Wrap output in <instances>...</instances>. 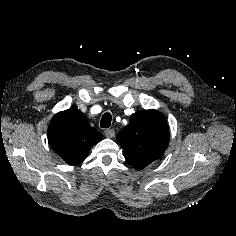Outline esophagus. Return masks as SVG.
Masks as SVG:
<instances>
[{
	"mask_svg": "<svg viewBox=\"0 0 236 236\" xmlns=\"http://www.w3.org/2000/svg\"><path fill=\"white\" fill-rule=\"evenodd\" d=\"M105 136L108 138H113L115 136V130L114 129H107L105 130Z\"/></svg>",
	"mask_w": 236,
	"mask_h": 236,
	"instance_id": "obj_1",
	"label": "esophagus"
}]
</instances>
